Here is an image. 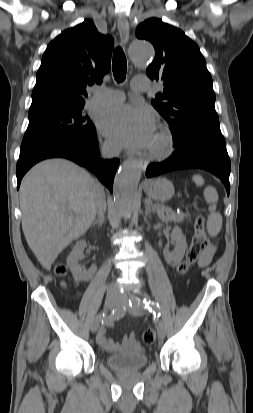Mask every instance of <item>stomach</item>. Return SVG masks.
<instances>
[{
	"label": "stomach",
	"mask_w": 253,
	"mask_h": 413,
	"mask_svg": "<svg viewBox=\"0 0 253 413\" xmlns=\"http://www.w3.org/2000/svg\"><path fill=\"white\" fill-rule=\"evenodd\" d=\"M144 191L150 199L163 202L172 198L174 186L166 178H157L147 182Z\"/></svg>",
	"instance_id": "obj_1"
}]
</instances>
